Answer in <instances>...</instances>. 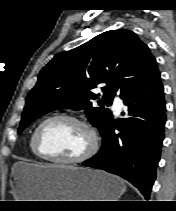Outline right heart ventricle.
Here are the masks:
<instances>
[{
	"mask_svg": "<svg viewBox=\"0 0 176 211\" xmlns=\"http://www.w3.org/2000/svg\"><path fill=\"white\" fill-rule=\"evenodd\" d=\"M29 147H30L31 152H32L36 157H39V156L37 155V153L35 152V149H34V146H33V133L31 134L30 139H29ZM39 158H40V157H39Z\"/></svg>",
	"mask_w": 176,
	"mask_h": 211,
	"instance_id": "1",
	"label": "right heart ventricle"
}]
</instances>
